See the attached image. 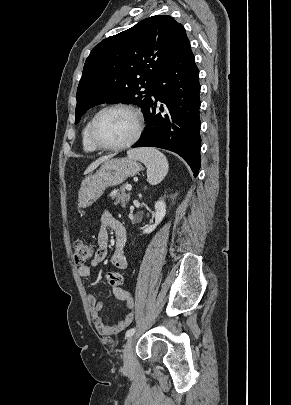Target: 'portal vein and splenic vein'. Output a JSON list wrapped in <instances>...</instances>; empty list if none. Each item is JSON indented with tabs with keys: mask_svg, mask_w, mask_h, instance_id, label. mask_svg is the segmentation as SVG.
Instances as JSON below:
<instances>
[{
	"mask_svg": "<svg viewBox=\"0 0 291 405\" xmlns=\"http://www.w3.org/2000/svg\"><path fill=\"white\" fill-rule=\"evenodd\" d=\"M126 189H127V191H131V190H132L131 184H127V185H126Z\"/></svg>",
	"mask_w": 291,
	"mask_h": 405,
	"instance_id": "18ae733b",
	"label": "portal vein and splenic vein"
}]
</instances>
